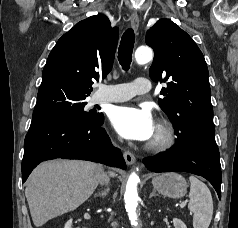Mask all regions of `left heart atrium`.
Returning <instances> with one entry per match:
<instances>
[{
	"label": "left heart atrium",
	"mask_w": 238,
	"mask_h": 228,
	"mask_svg": "<svg viewBox=\"0 0 238 228\" xmlns=\"http://www.w3.org/2000/svg\"><path fill=\"white\" fill-rule=\"evenodd\" d=\"M110 121L118 134L128 140L147 141L155 134L151 112L134 106H117L110 113Z\"/></svg>",
	"instance_id": "39dd6f15"
}]
</instances>
